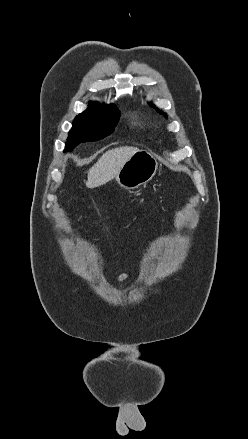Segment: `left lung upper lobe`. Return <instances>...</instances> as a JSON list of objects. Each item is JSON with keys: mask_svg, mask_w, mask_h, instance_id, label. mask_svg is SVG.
Listing matches in <instances>:
<instances>
[{"mask_svg": "<svg viewBox=\"0 0 248 439\" xmlns=\"http://www.w3.org/2000/svg\"><path fill=\"white\" fill-rule=\"evenodd\" d=\"M152 107H155L153 104H150ZM157 109V108H156ZM162 113V111H160ZM166 116V115H165Z\"/></svg>", "mask_w": 248, "mask_h": 439, "instance_id": "1", "label": "left lung upper lobe"}]
</instances>
